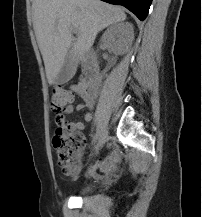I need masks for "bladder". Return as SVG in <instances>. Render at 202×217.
Segmentation results:
<instances>
[{
    "instance_id": "1",
    "label": "bladder",
    "mask_w": 202,
    "mask_h": 217,
    "mask_svg": "<svg viewBox=\"0 0 202 217\" xmlns=\"http://www.w3.org/2000/svg\"><path fill=\"white\" fill-rule=\"evenodd\" d=\"M87 190H88L87 187L83 188V189H82V193L86 192Z\"/></svg>"
}]
</instances>
